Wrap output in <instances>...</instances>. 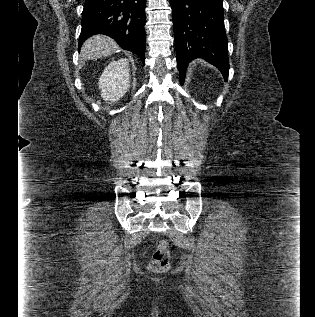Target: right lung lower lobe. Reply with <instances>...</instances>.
<instances>
[{
    "label": "right lung lower lobe",
    "mask_w": 315,
    "mask_h": 317,
    "mask_svg": "<svg viewBox=\"0 0 315 317\" xmlns=\"http://www.w3.org/2000/svg\"><path fill=\"white\" fill-rule=\"evenodd\" d=\"M145 6L146 0H85L79 45L91 35L105 34L138 55L144 65Z\"/></svg>",
    "instance_id": "1"
}]
</instances>
